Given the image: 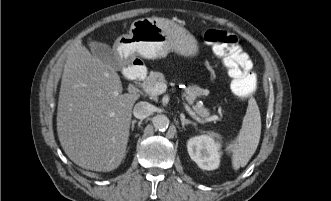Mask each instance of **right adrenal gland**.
Returning a JSON list of instances; mask_svg holds the SVG:
<instances>
[{"label": "right adrenal gland", "instance_id": "1", "mask_svg": "<svg viewBox=\"0 0 331 201\" xmlns=\"http://www.w3.org/2000/svg\"><path fill=\"white\" fill-rule=\"evenodd\" d=\"M137 123V120H133L132 122H131V129H132V131L134 130V127H135V124Z\"/></svg>", "mask_w": 331, "mask_h": 201}]
</instances>
